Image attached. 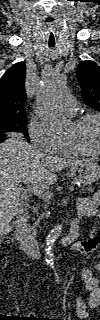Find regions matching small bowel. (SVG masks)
I'll return each mask as SVG.
<instances>
[{
  "instance_id": "1",
  "label": "small bowel",
  "mask_w": 100,
  "mask_h": 320,
  "mask_svg": "<svg viewBox=\"0 0 100 320\" xmlns=\"http://www.w3.org/2000/svg\"><path fill=\"white\" fill-rule=\"evenodd\" d=\"M99 195L95 194L92 197H82L77 200V207L81 214H91L93 208L97 204ZM86 242V241H85ZM85 242L80 246L83 251H91L85 248ZM96 269L100 271V263L96 266ZM81 280L85 285L90 295L87 300L78 297L75 301L76 314L80 319H84L88 316L89 310L94 309L100 303V281L94 275L93 269L90 267L84 268L81 272Z\"/></svg>"
}]
</instances>
